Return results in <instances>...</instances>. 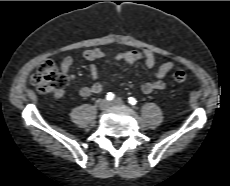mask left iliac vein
<instances>
[{"label":"left iliac vein","instance_id":"left-iliac-vein-1","mask_svg":"<svg viewBox=\"0 0 230 186\" xmlns=\"http://www.w3.org/2000/svg\"><path fill=\"white\" fill-rule=\"evenodd\" d=\"M123 100L121 98H115L112 102L111 105L113 106H122L123 105Z\"/></svg>","mask_w":230,"mask_h":186}]
</instances>
